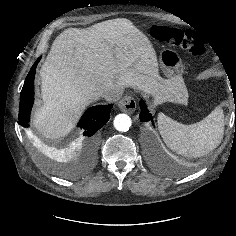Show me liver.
Here are the masks:
<instances>
[{"label": "liver", "instance_id": "obj_1", "mask_svg": "<svg viewBox=\"0 0 236 236\" xmlns=\"http://www.w3.org/2000/svg\"><path fill=\"white\" fill-rule=\"evenodd\" d=\"M158 65L149 38L126 18L66 29L41 67L43 104L33 125L46 138L63 137L89 104L107 90L124 87L186 104L179 89L159 76Z\"/></svg>", "mask_w": 236, "mask_h": 236}]
</instances>
